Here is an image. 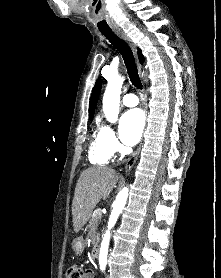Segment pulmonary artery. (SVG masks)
<instances>
[{"label":"pulmonary artery","mask_w":221,"mask_h":278,"mask_svg":"<svg viewBox=\"0 0 221 278\" xmlns=\"http://www.w3.org/2000/svg\"><path fill=\"white\" fill-rule=\"evenodd\" d=\"M122 103L127 107H134L139 104V99L135 94H126L122 98Z\"/></svg>","instance_id":"pulmonary-artery-1"}]
</instances>
